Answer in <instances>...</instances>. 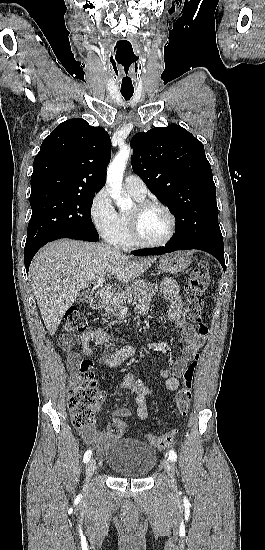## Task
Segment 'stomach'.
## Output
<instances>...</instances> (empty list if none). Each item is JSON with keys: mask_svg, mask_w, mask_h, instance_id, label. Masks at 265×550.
Returning a JSON list of instances; mask_svg holds the SVG:
<instances>
[{"mask_svg": "<svg viewBox=\"0 0 265 550\" xmlns=\"http://www.w3.org/2000/svg\"><path fill=\"white\" fill-rule=\"evenodd\" d=\"M191 264V259L182 252L164 255L159 260V269L164 273H179L184 271Z\"/></svg>", "mask_w": 265, "mask_h": 550, "instance_id": "1", "label": "stomach"}]
</instances>
